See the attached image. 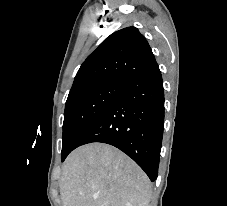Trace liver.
Listing matches in <instances>:
<instances>
[{
	"label": "liver",
	"mask_w": 227,
	"mask_h": 206,
	"mask_svg": "<svg viewBox=\"0 0 227 206\" xmlns=\"http://www.w3.org/2000/svg\"><path fill=\"white\" fill-rule=\"evenodd\" d=\"M60 194L63 206H148L151 183L117 148L90 143L67 157Z\"/></svg>",
	"instance_id": "6515ba94"
}]
</instances>
